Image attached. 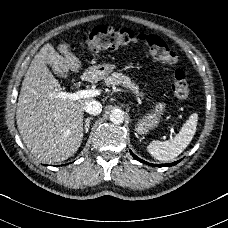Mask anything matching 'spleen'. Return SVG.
Here are the masks:
<instances>
[{"label":"spleen","instance_id":"spleen-1","mask_svg":"<svg viewBox=\"0 0 228 228\" xmlns=\"http://www.w3.org/2000/svg\"><path fill=\"white\" fill-rule=\"evenodd\" d=\"M198 115L192 114L183 124L180 132L173 139L167 141H152L148 146V152L159 161H171L180 155L192 141L197 127Z\"/></svg>","mask_w":228,"mask_h":228}]
</instances>
